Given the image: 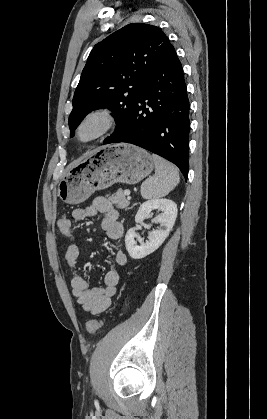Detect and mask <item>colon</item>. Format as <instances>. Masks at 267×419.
Segmentation results:
<instances>
[{
	"label": "colon",
	"instance_id": "1",
	"mask_svg": "<svg viewBox=\"0 0 267 419\" xmlns=\"http://www.w3.org/2000/svg\"><path fill=\"white\" fill-rule=\"evenodd\" d=\"M57 226L58 229L60 231V233L67 237V238H72L73 237V233H72V229H71V225H70V220L68 219V217L66 215H62L58 220H57ZM103 324L102 320H98V319H93L90 320L86 323V331L88 334H93L94 332H96V330H98L101 325Z\"/></svg>",
	"mask_w": 267,
	"mask_h": 419
}]
</instances>
